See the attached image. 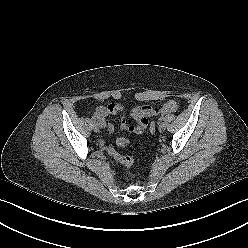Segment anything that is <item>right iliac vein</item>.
Instances as JSON below:
<instances>
[{
	"instance_id": "obj_1",
	"label": "right iliac vein",
	"mask_w": 248,
	"mask_h": 248,
	"mask_svg": "<svg viewBox=\"0 0 248 248\" xmlns=\"http://www.w3.org/2000/svg\"><path fill=\"white\" fill-rule=\"evenodd\" d=\"M99 129H100V128H99V125L95 123V124L93 125V130H94V132H99Z\"/></svg>"
}]
</instances>
